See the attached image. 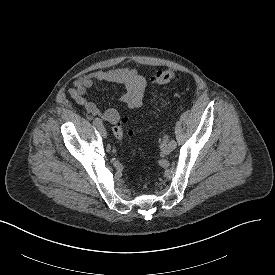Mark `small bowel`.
<instances>
[{
	"mask_svg": "<svg viewBox=\"0 0 275 275\" xmlns=\"http://www.w3.org/2000/svg\"><path fill=\"white\" fill-rule=\"evenodd\" d=\"M118 84L124 88L120 95V102L128 109H139L143 105L146 90V79L136 69L117 68L110 70H99L77 78L68 93L79 104L90 117L115 124L120 120L117 109L110 108L101 111L95 103L88 99V89L96 85Z\"/></svg>",
	"mask_w": 275,
	"mask_h": 275,
	"instance_id": "1",
	"label": "small bowel"
}]
</instances>
